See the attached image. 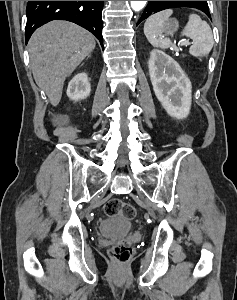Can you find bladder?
Instances as JSON below:
<instances>
[{"instance_id": "obj_1", "label": "bladder", "mask_w": 237, "mask_h": 300, "mask_svg": "<svg viewBox=\"0 0 237 300\" xmlns=\"http://www.w3.org/2000/svg\"><path fill=\"white\" fill-rule=\"evenodd\" d=\"M100 232L107 237L121 236L131 229L130 222L120 216H111L100 225Z\"/></svg>"}]
</instances>
